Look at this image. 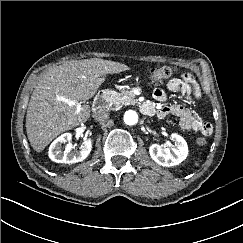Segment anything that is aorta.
Here are the masks:
<instances>
[{
	"instance_id": "762f6f07",
	"label": "aorta",
	"mask_w": 243,
	"mask_h": 243,
	"mask_svg": "<svg viewBox=\"0 0 243 243\" xmlns=\"http://www.w3.org/2000/svg\"><path fill=\"white\" fill-rule=\"evenodd\" d=\"M123 119L126 125H135L138 122V114L134 110H128L125 112Z\"/></svg>"
}]
</instances>
